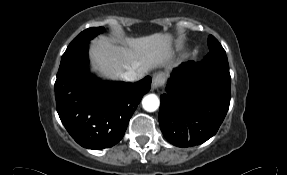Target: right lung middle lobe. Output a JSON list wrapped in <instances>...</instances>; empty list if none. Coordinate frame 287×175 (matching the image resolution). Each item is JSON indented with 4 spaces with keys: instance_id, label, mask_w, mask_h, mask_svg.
<instances>
[{
    "instance_id": "1",
    "label": "right lung middle lobe",
    "mask_w": 287,
    "mask_h": 175,
    "mask_svg": "<svg viewBox=\"0 0 287 175\" xmlns=\"http://www.w3.org/2000/svg\"><path fill=\"white\" fill-rule=\"evenodd\" d=\"M104 31L105 29L103 27H92V28L84 30L69 44L65 52L84 44L85 42L91 40L96 35Z\"/></svg>"
}]
</instances>
